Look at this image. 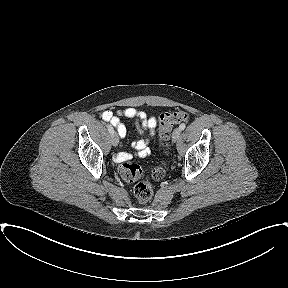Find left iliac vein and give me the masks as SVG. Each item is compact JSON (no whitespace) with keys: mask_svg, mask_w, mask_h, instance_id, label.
<instances>
[{"mask_svg":"<svg viewBox=\"0 0 288 288\" xmlns=\"http://www.w3.org/2000/svg\"><path fill=\"white\" fill-rule=\"evenodd\" d=\"M180 134H181V130L179 128H176L172 133V141L176 142L179 139Z\"/></svg>","mask_w":288,"mask_h":288,"instance_id":"obj_1","label":"left iliac vein"}]
</instances>
